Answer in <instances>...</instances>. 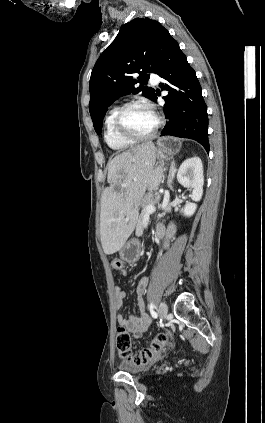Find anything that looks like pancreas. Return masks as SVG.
Here are the masks:
<instances>
[{"mask_svg":"<svg viewBox=\"0 0 265 423\" xmlns=\"http://www.w3.org/2000/svg\"><path fill=\"white\" fill-rule=\"evenodd\" d=\"M159 198L158 197H154L152 193H148L146 196H144L142 202H141V207H142V211L141 214L139 216V219L137 221V225H136V232L138 234L143 232V222H144V218L147 215V211L146 208L149 205H154L158 202ZM165 212H170L171 211V207L168 205L164 208Z\"/></svg>","mask_w":265,"mask_h":423,"instance_id":"1","label":"pancreas"}]
</instances>
